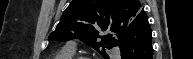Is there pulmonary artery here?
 I'll return each mask as SVG.
<instances>
[{
	"label": "pulmonary artery",
	"instance_id": "1",
	"mask_svg": "<svg viewBox=\"0 0 193 59\" xmlns=\"http://www.w3.org/2000/svg\"><path fill=\"white\" fill-rule=\"evenodd\" d=\"M65 48L69 49L71 51H75V46L71 43L67 44ZM117 53H118V51H114V54H117Z\"/></svg>",
	"mask_w": 193,
	"mask_h": 59
}]
</instances>
